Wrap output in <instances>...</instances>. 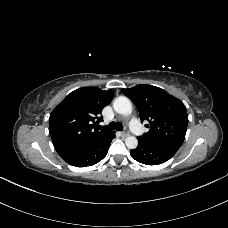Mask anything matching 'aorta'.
<instances>
[{
    "mask_svg": "<svg viewBox=\"0 0 228 228\" xmlns=\"http://www.w3.org/2000/svg\"><path fill=\"white\" fill-rule=\"evenodd\" d=\"M114 110L122 115L129 116L132 113V104L125 96L117 97L113 102ZM125 144L129 149H135L138 146V140L135 136H128Z\"/></svg>",
    "mask_w": 228,
    "mask_h": 228,
    "instance_id": "762f6f07",
    "label": "aorta"
}]
</instances>
